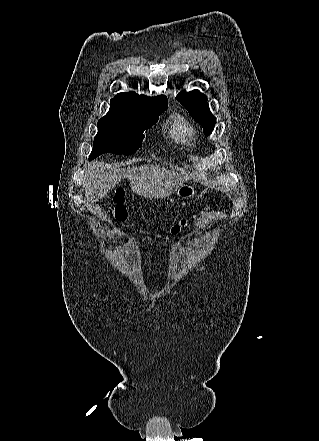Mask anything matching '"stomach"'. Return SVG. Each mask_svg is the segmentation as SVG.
Instances as JSON below:
<instances>
[{
	"label": "stomach",
	"instance_id": "1",
	"mask_svg": "<svg viewBox=\"0 0 319 441\" xmlns=\"http://www.w3.org/2000/svg\"><path fill=\"white\" fill-rule=\"evenodd\" d=\"M196 191L193 186L183 184L176 190V194L179 198L186 199L195 195Z\"/></svg>",
	"mask_w": 319,
	"mask_h": 441
}]
</instances>
